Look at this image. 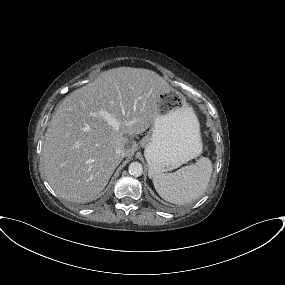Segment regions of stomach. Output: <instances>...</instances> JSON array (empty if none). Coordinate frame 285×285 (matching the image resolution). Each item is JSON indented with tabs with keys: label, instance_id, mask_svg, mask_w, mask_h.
<instances>
[{
	"label": "stomach",
	"instance_id": "stomach-1",
	"mask_svg": "<svg viewBox=\"0 0 285 285\" xmlns=\"http://www.w3.org/2000/svg\"><path fill=\"white\" fill-rule=\"evenodd\" d=\"M156 104L157 117L141 142L151 178L198 157L203 149L199 122L180 92L164 86Z\"/></svg>",
	"mask_w": 285,
	"mask_h": 285
}]
</instances>
